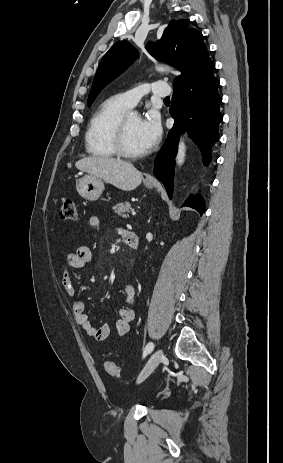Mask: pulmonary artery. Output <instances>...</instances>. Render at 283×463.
Returning <instances> with one entry per match:
<instances>
[{"label": "pulmonary artery", "mask_w": 283, "mask_h": 463, "mask_svg": "<svg viewBox=\"0 0 283 463\" xmlns=\"http://www.w3.org/2000/svg\"><path fill=\"white\" fill-rule=\"evenodd\" d=\"M148 93L156 97L166 98L170 95V87L166 82L155 81L150 84H144L138 87H135L126 92L120 93L117 96L122 101L123 105L127 108H133L139 100H141Z\"/></svg>", "instance_id": "1"}]
</instances>
